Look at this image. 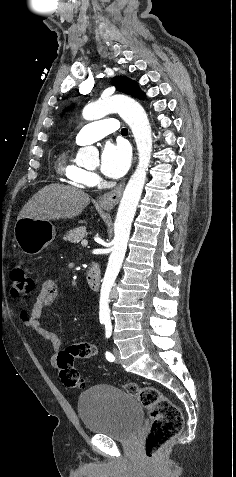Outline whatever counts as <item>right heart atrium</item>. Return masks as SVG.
<instances>
[{
	"instance_id": "right-heart-atrium-1",
	"label": "right heart atrium",
	"mask_w": 236,
	"mask_h": 477,
	"mask_svg": "<svg viewBox=\"0 0 236 477\" xmlns=\"http://www.w3.org/2000/svg\"><path fill=\"white\" fill-rule=\"evenodd\" d=\"M97 179V176L95 174H90L89 182L94 183Z\"/></svg>"
}]
</instances>
